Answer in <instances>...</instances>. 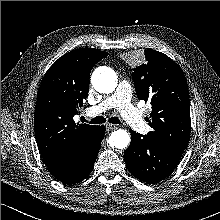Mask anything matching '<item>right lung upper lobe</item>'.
<instances>
[{
	"instance_id": "right-lung-upper-lobe-1",
	"label": "right lung upper lobe",
	"mask_w": 220,
	"mask_h": 220,
	"mask_svg": "<svg viewBox=\"0 0 220 220\" xmlns=\"http://www.w3.org/2000/svg\"><path fill=\"white\" fill-rule=\"evenodd\" d=\"M108 55L80 48L61 56L46 72L36 101L34 121L39 152L51 172L62 169L97 126L76 124L89 91L93 66Z\"/></svg>"
}]
</instances>
